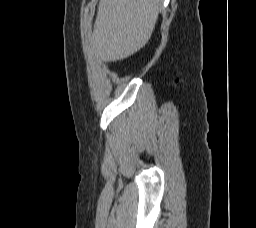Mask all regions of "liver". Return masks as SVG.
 <instances>
[{
  "mask_svg": "<svg viewBox=\"0 0 256 228\" xmlns=\"http://www.w3.org/2000/svg\"><path fill=\"white\" fill-rule=\"evenodd\" d=\"M161 0H100L91 45L104 62L134 54L151 38Z\"/></svg>",
  "mask_w": 256,
  "mask_h": 228,
  "instance_id": "6515ba94",
  "label": "liver"
}]
</instances>
